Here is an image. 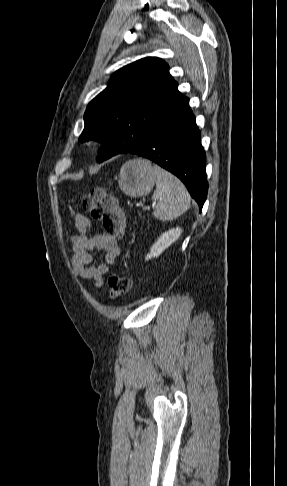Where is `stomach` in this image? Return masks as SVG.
Wrapping results in <instances>:
<instances>
[{"label": "stomach", "mask_w": 287, "mask_h": 486, "mask_svg": "<svg viewBox=\"0 0 287 486\" xmlns=\"http://www.w3.org/2000/svg\"><path fill=\"white\" fill-rule=\"evenodd\" d=\"M155 180L156 173L149 161L133 159L122 165L118 184L126 195L141 197L152 190Z\"/></svg>", "instance_id": "1"}]
</instances>
